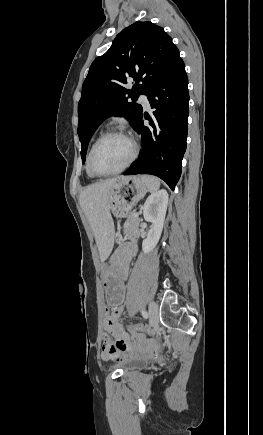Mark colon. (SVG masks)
I'll return each instance as SVG.
<instances>
[{
	"instance_id": "1",
	"label": "colon",
	"mask_w": 263,
	"mask_h": 435,
	"mask_svg": "<svg viewBox=\"0 0 263 435\" xmlns=\"http://www.w3.org/2000/svg\"><path fill=\"white\" fill-rule=\"evenodd\" d=\"M147 326L145 324H139L138 326H133V327H125L123 330L126 332H130V331H134L137 335H144V331L146 332L148 329L146 328ZM127 342V341H126ZM100 343L105 346V348H110V343L109 340L106 337H103L100 340Z\"/></svg>"
}]
</instances>
